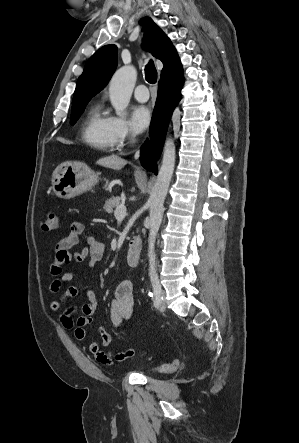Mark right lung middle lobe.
<instances>
[{
	"label": "right lung middle lobe",
	"instance_id": "dd1d6c3e",
	"mask_svg": "<svg viewBox=\"0 0 299 443\" xmlns=\"http://www.w3.org/2000/svg\"><path fill=\"white\" fill-rule=\"evenodd\" d=\"M88 102L79 104L77 106H73L72 107V111H71V124L73 125L76 120L79 118L80 114L83 112L85 106L87 105Z\"/></svg>",
	"mask_w": 299,
	"mask_h": 443
}]
</instances>
